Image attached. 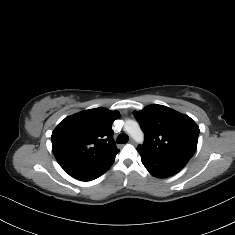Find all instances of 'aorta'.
<instances>
[{
	"mask_svg": "<svg viewBox=\"0 0 235 235\" xmlns=\"http://www.w3.org/2000/svg\"><path fill=\"white\" fill-rule=\"evenodd\" d=\"M124 129L137 143L144 140V133L142 132L139 124L136 121L128 120L124 125Z\"/></svg>",
	"mask_w": 235,
	"mask_h": 235,
	"instance_id": "1",
	"label": "aorta"
}]
</instances>
